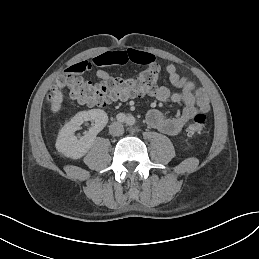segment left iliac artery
Returning a JSON list of instances; mask_svg holds the SVG:
<instances>
[{
	"mask_svg": "<svg viewBox=\"0 0 259 259\" xmlns=\"http://www.w3.org/2000/svg\"><path fill=\"white\" fill-rule=\"evenodd\" d=\"M136 122L135 118L132 116V115H129L126 119V123L129 125V126H132L134 125Z\"/></svg>",
	"mask_w": 259,
	"mask_h": 259,
	"instance_id": "obj_1",
	"label": "left iliac artery"
}]
</instances>
